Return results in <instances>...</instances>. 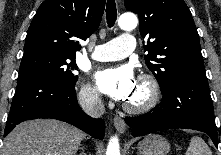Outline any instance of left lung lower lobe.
<instances>
[{
  "instance_id": "0a47b994",
  "label": "left lung lower lobe",
  "mask_w": 221,
  "mask_h": 155,
  "mask_svg": "<svg viewBox=\"0 0 221 155\" xmlns=\"http://www.w3.org/2000/svg\"><path fill=\"white\" fill-rule=\"evenodd\" d=\"M125 121L132 127L135 137L165 129L188 128L207 133L218 147L213 103L205 74L177 79L153 110L125 118Z\"/></svg>"
}]
</instances>
